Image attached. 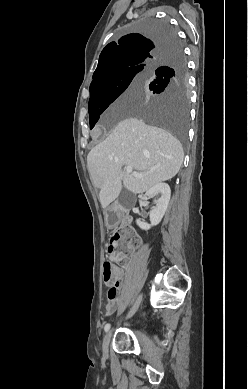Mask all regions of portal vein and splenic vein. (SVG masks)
Listing matches in <instances>:
<instances>
[{"label": "portal vein and splenic vein", "instance_id": "18ae733b", "mask_svg": "<svg viewBox=\"0 0 248 389\" xmlns=\"http://www.w3.org/2000/svg\"><path fill=\"white\" fill-rule=\"evenodd\" d=\"M125 171H126L127 173H131V174L134 175L135 177H142V176H143L142 174L133 171V168H132L131 166H126V167H125Z\"/></svg>", "mask_w": 248, "mask_h": 389}]
</instances>
